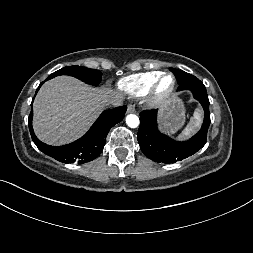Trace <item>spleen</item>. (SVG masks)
<instances>
[{"label": "spleen", "mask_w": 253, "mask_h": 253, "mask_svg": "<svg viewBox=\"0 0 253 253\" xmlns=\"http://www.w3.org/2000/svg\"><path fill=\"white\" fill-rule=\"evenodd\" d=\"M201 115L202 114L199 110H196L194 112V115L191 118L189 124L183 130L182 134L179 135L180 139H184V138L190 136L193 132H195L197 130V128L200 126L201 121H202Z\"/></svg>", "instance_id": "1"}]
</instances>
